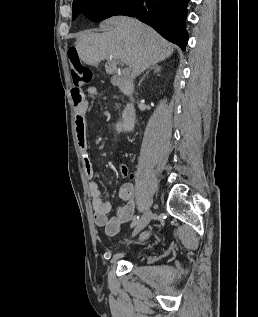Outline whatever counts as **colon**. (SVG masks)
Returning <instances> with one entry per match:
<instances>
[{"instance_id":"colon-1","label":"colon","mask_w":258,"mask_h":317,"mask_svg":"<svg viewBox=\"0 0 258 317\" xmlns=\"http://www.w3.org/2000/svg\"><path fill=\"white\" fill-rule=\"evenodd\" d=\"M67 55L74 85L78 87L89 84L94 74L91 68L81 62L76 45L69 46ZM148 235L149 232H145L142 234V238H146Z\"/></svg>"}]
</instances>
